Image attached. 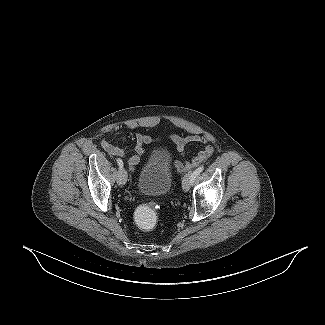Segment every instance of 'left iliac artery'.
Segmentation results:
<instances>
[{"mask_svg":"<svg viewBox=\"0 0 325 325\" xmlns=\"http://www.w3.org/2000/svg\"><path fill=\"white\" fill-rule=\"evenodd\" d=\"M204 170V166H199L192 174V183L194 182L195 178Z\"/></svg>","mask_w":325,"mask_h":325,"instance_id":"left-iliac-artery-1","label":"left iliac artery"}]
</instances>
